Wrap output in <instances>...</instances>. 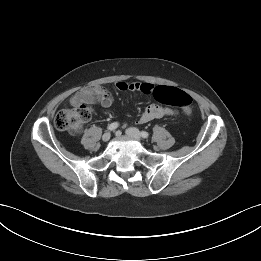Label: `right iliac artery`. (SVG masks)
Masks as SVG:
<instances>
[{"label": "right iliac artery", "mask_w": 261, "mask_h": 261, "mask_svg": "<svg viewBox=\"0 0 261 261\" xmlns=\"http://www.w3.org/2000/svg\"><path fill=\"white\" fill-rule=\"evenodd\" d=\"M119 126V124L117 122L111 123L108 125L107 129L110 131L115 130L117 127Z\"/></svg>", "instance_id": "82829eb1"}]
</instances>
